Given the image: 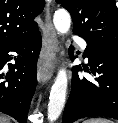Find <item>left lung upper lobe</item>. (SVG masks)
<instances>
[{
	"label": "left lung upper lobe",
	"instance_id": "5c2ea615",
	"mask_svg": "<svg viewBox=\"0 0 118 123\" xmlns=\"http://www.w3.org/2000/svg\"><path fill=\"white\" fill-rule=\"evenodd\" d=\"M71 14L73 32L87 43L118 52V9L115 0H56Z\"/></svg>",
	"mask_w": 118,
	"mask_h": 123
}]
</instances>
